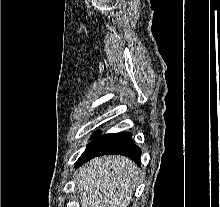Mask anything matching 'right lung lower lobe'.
<instances>
[{"label": "right lung lower lobe", "mask_w": 220, "mask_h": 207, "mask_svg": "<svg viewBox=\"0 0 220 207\" xmlns=\"http://www.w3.org/2000/svg\"><path fill=\"white\" fill-rule=\"evenodd\" d=\"M106 154H120L129 157L140 165L141 149L132 141L129 132L104 134L87 145V148L76 162V167L88 160Z\"/></svg>", "instance_id": "obj_1"}]
</instances>
